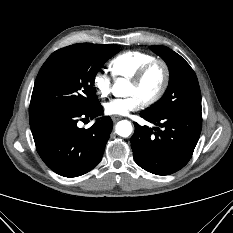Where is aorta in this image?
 I'll list each match as a JSON object with an SVG mask.
<instances>
[{"label":"aorta","mask_w":233,"mask_h":233,"mask_svg":"<svg viewBox=\"0 0 233 233\" xmlns=\"http://www.w3.org/2000/svg\"><path fill=\"white\" fill-rule=\"evenodd\" d=\"M127 85V80L119 78L114 85V90L116 92H122ZM115 131L121 137H128L132 133V125L128 120L119 121L116 124Z\"/></svg>","instance_id":"762f6f07"}]
</instances>
